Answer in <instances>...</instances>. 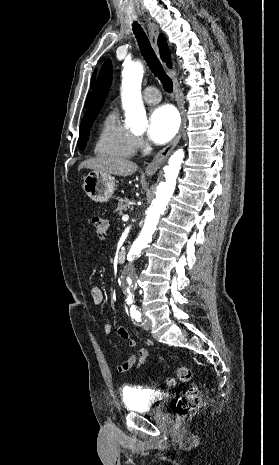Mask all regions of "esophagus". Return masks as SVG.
Segmentation results:
<instances>
[{
    "label": "esophagus",
    "instance_id": "esophagus-1",
    "mask_svg": "<svg viewBox=\"0 0 279 465\" xmlns=\"http://www.w3.org/2000/svg\"><path fill=\"white\" fill-rule=\"evenodd\" d=\"M145 23L147 25L148 34H149V38H150L152 47L155 50L156 54L159 55V48H158V44H157V40H158V36H159V28L155 23L151 22L147 18H145ZM173 86H174L175 98H176L178 107H179V109L181 111V115L183 117V112L181 110V105H180V100H179L178 81L174 77H173ZM182 131H183V123H182V125L180 127V130H179L177 136L174 138V140L171 143H169L167 146H165L156 155V157L147 165V167L145 168V173L148 176L154 175L157 172V170L162 166V164L166 161L168 156L171 154V152L174 150L176 145L179 143V140H180L181 135H182Z\"/></svg>",
    "mask_w": 279,
    "mask_h": 465
}]
</instances>
